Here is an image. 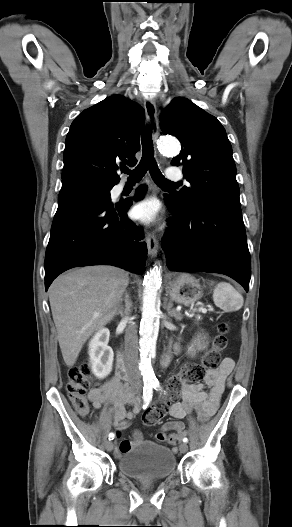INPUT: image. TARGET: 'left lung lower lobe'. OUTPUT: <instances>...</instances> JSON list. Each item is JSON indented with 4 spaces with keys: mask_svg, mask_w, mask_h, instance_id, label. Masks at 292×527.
Returning a JSON list of instances; mask_svg holds the SVG:
<instances>
[{
    "mask_svg": "<svg viewBox=\"0 0 292 527\" xmlns=\"http://www.w3.org/2000/svg\"><path fill=\"white\" fill-rule=\"evenodd\" d=\"M173 217L162 240L168 268L179 272L225 274L246 291L251 277L241 208L227 204H201L182 211L165 196Z\"/></svg>",
    "mask_w": 292,
    "mask_h": 527,
    "instance_id": "left-lung-lower-lobe-1",
    "label": "left lung lower lobe"
}]
</instances>
